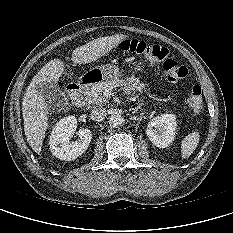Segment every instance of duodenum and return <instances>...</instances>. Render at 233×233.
I'll return each mask as SVG.
<instances>
[{
  "label": "duodenum",
  "instance_id": "duodenum-1",
  "mask_svg": "<svg viewBox=\"0 0 233 233\" xmlns=\"http://www.w3.org/2000/svg\"><path fill=\"white\" fill-rule=\"evenodd\" d=\"M92 80V77L86 76L77 82L69 84L67 87V93L70 99L76 101L81 95L84 87L92 82Z\"/></svg>",
  "mask_w": 233,
  "mask_h": 233
}]
</instances>
